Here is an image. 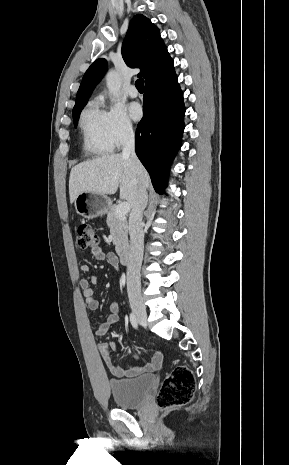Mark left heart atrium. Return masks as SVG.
Here are the masks:
<instances>
[{
	"mask_svg": "<svg viewBox=\"0 0 289 465\" xmlns=\"http://www.w3.org/2000/svg\"><path fill=\"white\" fill-rule=\"evenodd\" d=\"M129 113L134 121H139L143 115L142 108L138 103H132L129 106Z\"/></svg>",
	"mask_w": 289,
	"mask_h": 465,
	"instance_id": "left-heart-atrium-1",
	"label": "left heart atrium"
}]
</instances>
